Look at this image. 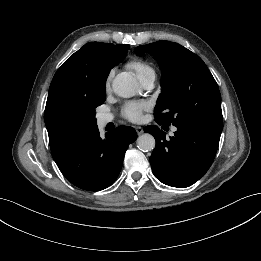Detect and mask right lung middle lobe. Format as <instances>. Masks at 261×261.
Here are the masks:
<instances>
[{
    "mask_svg": "<svg viewBox=\"0 0 261 261\" xmlns=\"http://www.w3.org/2000/svg\"><path fill=\"white\" fill-rule=\"evenodd\" d=\"M110 69L105 72V79L97 97L84 105L66 109L59 119V132L66 141L74 140L85 136L88 132L97 127L95 108L101 105L106 99L105 81Z\"/></svg>",
    "mask_w": 261,
    "mask_h": 261,
    "instance_id": "1",
    "label": "right lung middle lobe"
}]
</instances>
